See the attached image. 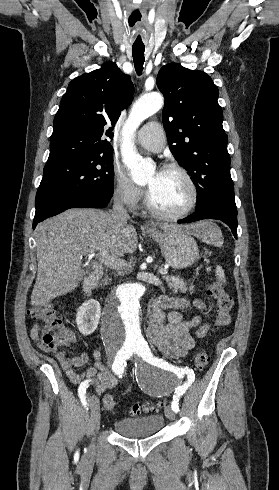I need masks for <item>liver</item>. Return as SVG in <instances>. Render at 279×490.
I'll return each instance as SVG.
<instances>
[{
  "mask_svg": "<svg viewBox=\"0 0 279 490\" xmlns=\"http://www.w3.org/2000/svg\"><path fill=\"white\" fill-rule=\"evenodd\" d=\"M161 230H182L200 238L204 222L189 226H166ZM38 272L31 294L32 306H42L57 296L77 288L84 272L82 258L86 254H111L120 260L137 250V232L134 226L113 220L102 210H67L60 216L38 224L35 230Z\"/></svg>",
  "mask_w": 279,
  "mask_h": 490,
  "instance_id": "liver-1",
  "label": "liver"
}]
</instances>
